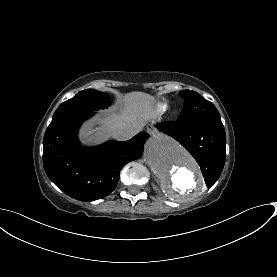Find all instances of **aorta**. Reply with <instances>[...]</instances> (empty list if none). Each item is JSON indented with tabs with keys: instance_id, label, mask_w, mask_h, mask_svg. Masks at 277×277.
Returning <instances> with one entry per match:
<instances>
[{
	"instance_id": "aorta-1",
	"label": "aorta",
	"mask_w": 277,
	"mask_h": 277,
	"mask_svg": "<svg viewBox=\"0 0 277 277\" xmlns=\"http://www.w3.org/2000/svg\"><path fill=\"white\" fill-rule=\"evenodd\" d=\"M145 161L159 178L164 194L177 202L191 201L205 189L192 156L172 138L158 134L146 143Z\"/></svg>"
}]
</instances>
